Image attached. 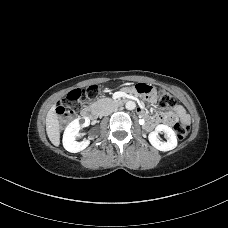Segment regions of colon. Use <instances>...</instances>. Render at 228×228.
Masks as SVG:
<instances>
[{"label":"colon","mask_w":228,"mask_h":228,"mask_svg":"<svg viewBox=\"0 0 228 228\" xmlns=\"http://www.w3.org/2000/svg\"><path fill=\"white\" fill-rule=\"evenodd\" d=\"M135 89L139 94L145 96L157 95L158 105L162 109L173 107L176 104L175 97L165 89L155 91L151 85L145 83L137 84ZM98 90V86H90L70 91L65 100L56 109L60 121L63 123L70 121L74 117L75 110L79 106L80 101L83 98L89 102L93 101L97 96ZM174 130L180 140H184L189 133L188 125L182 121H178L174 124Z\"/></svg>","instance_id":"5ec220e1"}]
</instances>
